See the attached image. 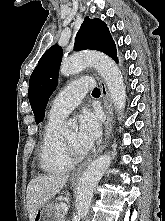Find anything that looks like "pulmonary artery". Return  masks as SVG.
I'll use <instances>...</instances> for the list:
<instances>
[{
    "label": "pulmonary artery",
    "instance_id": "obj_1",
    "mask_svg": "<svg viewBox=\"0 0 165 221\" xmlns=\"http://www.w3.org/2000/svg\"><path fill=\"white\" fill-rule=\"evenodd\" d=\"M93 87L94 81L90 77L80 78L68 84L52 101L49 118L64 119Z\"/></svg>",
    "mask_w": 165,
    "mask_h": 221
}]
</instances>
